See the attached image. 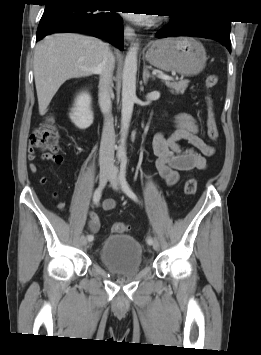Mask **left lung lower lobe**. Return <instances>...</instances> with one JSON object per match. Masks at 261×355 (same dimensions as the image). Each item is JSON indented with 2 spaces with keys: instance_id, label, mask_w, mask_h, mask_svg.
I'll list each match as a JSON object with an SVG mask.
<instances>
[{
  "instance_id": "1",
  "label": "left lung lower lobe",
  "mask_w": 261,
  "mask_h": 355,
  "mask_svg": "<svg viewBox=\"0 0 261 355\" xmlns=\"http://www.w3.org/2000/svg\"><path fill=\"white\" fill-rule=\"evenodd\" d=\"M170 23L158 33L157 38L170 36H195L213 39L231 52L230 21L225 19L170 16Z\"/></svg>"
}]
</instances>
